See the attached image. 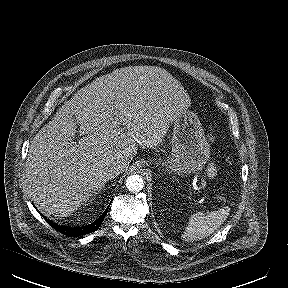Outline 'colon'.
<instances>
[{
  "label": "colon",
  "mask_w": 288,
  "mask_h": 288,
  "mask_svg": "<svg viewBox=\"0 0 288 288\" xmlns=\"http://www.w3.org/2000/svg\"><path fill=\"white\" fill-rule=\"evenodd\" d=\"M207 139H208V141H209L210 143H213V142H214V137H213L212 135H209V136L207 137Z\"/></svg>",
  "instance_id": "colon-1"
}]
</instances>
